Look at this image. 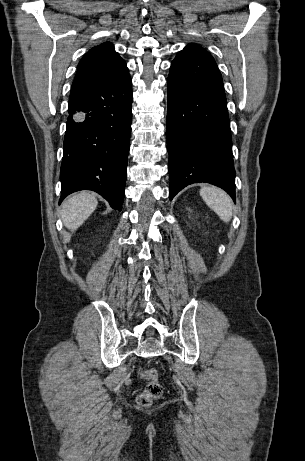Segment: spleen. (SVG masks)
Wrapping results in <instances>:
<instances>
[{
    "label": "spleen",
    "instance_id": "1",
    "mask_svg": "<svg viewBox=\"0 0 305 461\" xmlns=\"http://www.w3.org/2000/svg\"><path fill=\"white\" fill-rule=\"evenodd\" d=\"M200 195L222 221L229 222L231 220L232 202L226 192L215 186H205L200 189Z\"/></svg>",
    "mask_w": 305,
    "mask_h": 461
}]
</instances>
